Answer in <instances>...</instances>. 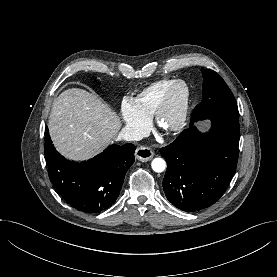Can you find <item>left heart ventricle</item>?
Instances as JSON below:
<instances>
[{"mask_svg": "<svg viewBox=\"0 0 277 277\" xmlns=\"http://www.w3.org/2000/svg\"><path fill=\"white\" fill-rule=\"evenodd\" d=\"M181 96H182V90L177 89L176 92L173 95L170 107H169V109L167 110V112L164 116L163 121L166 125H168V124H170L174 121L175 116H176V110H177V107L179 105Z\"/></svg>", "mask_w": 277, "mask_h": 277, "instance_id": "obj_1", "label": "left heart ventricle"}]
</instances>
